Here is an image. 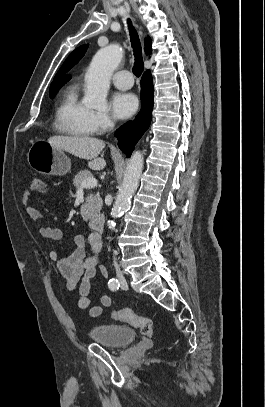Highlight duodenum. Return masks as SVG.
Segmentation results:
<instances>
[{
    "label": "duodenum",
    "mask_w": 265,
    "mask_h": 407,
    "mask_svg": "<svg viewBox=\"0 0 265 407\" xmlns=\"http://www.w3.org/2000/svg\"><path fill=\"white\" fill-rule=\"evenodd\" d=\"M90 227L96 230L98 233H102L104 230V219L102 215L93 216L90 219Z\"/></svg>",
    "instance_id": "1"
}]
</instances>
